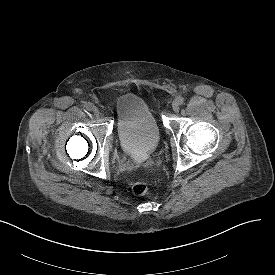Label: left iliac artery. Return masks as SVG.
Returning <instances> with one entry per match:
<instances>
[{"mask_svg":"<svg viewBox=\"0 0 275 275\" xmlns=\"http://www.w3.org/2000/svg\"><path fill=\"white\" fill-rule=\"evenodd\" d=\"M176 101L178 102L179 105H182V104L184 103V98L181 97V96H178V97L176 98Z\"/></svg>","mask_w":275,"mask_h":275,"instance_id":"44dca946","label":"left iliac artery"}]
</instances>
